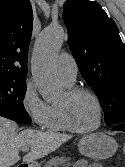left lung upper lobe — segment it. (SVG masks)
<instances>
[{"instance_id": "5c2ea615", "label": "left lung upper lobe", "mask_w": 125, "mask_h": 167, "mask_svg": "<svg viewBox=\"0 0 125 167\" xmlns=\"http://www.w3.org/2000/svg\"><path fill=\"white\" fill-rule=\"evenodd\" d=\"M68 45L85 81L103 105L108 126L125 123V44L115 22L88 0H67Z\"/></svg>"}]
</instances>
